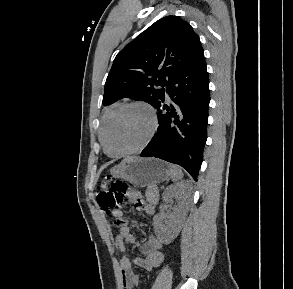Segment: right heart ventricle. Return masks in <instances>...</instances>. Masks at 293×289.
<instances>
[{"mask_svg": "<svg viewBox=\"0 0 293 289\" xmlns=\"http://www.w3.org/2000/svg\"><path fill=\"white\" fill-rule=\"evenodd\" d=\"M120 106V103H114L112 106H110L105 113L103 114L102 120H101V124H100V128H99V140L103 146V134H104V130H105V126L106 123L108 121V119L110 118V116L113 114V112Z\"/></svg>", "mask_w": 293, "mask_h": 289, "instance_id": "obj_1", "label": "right heart ventricle"}]
</instances>
